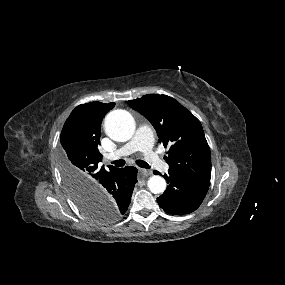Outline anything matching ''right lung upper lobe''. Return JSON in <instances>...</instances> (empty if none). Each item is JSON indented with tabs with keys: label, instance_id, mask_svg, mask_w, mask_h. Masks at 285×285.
<instances>
[{
	"label": "right lung upper lobe",
	"instance_id": "1",
	"mask_svg": "<svg viewBox=\"0 0 285 285\" xmlns=\"http://www.w3.org/2000/svg\"><path fill=\"white\" fill-rule=\"evenodd\" d=\"M115 103L91 102L76 107L66 120L61 132L62 166H66L78 184L79 191L92 189L98 180L118 168L98 167L101 153L98 150L101 136V122Z\"/></svg>",
	"mask_w": 285,
	"mask_h": 285
}]
</instances>
